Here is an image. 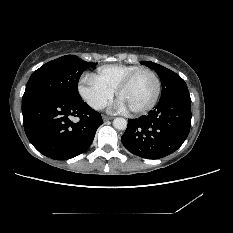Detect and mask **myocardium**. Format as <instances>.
<instances>
[{
    "instance_id": "f54148a6",
    "label": "myocardium",
    "mask_w": 233,
    "mask_h": 233,
    "mask_svg": "<svg viewBox=\"0 0 233 233\" xmlns=\"http://www.w3.org/2000/svg\"><path fill=\"white\" fill-rule=\"evenodd\" d=\"M142 73H149L154 77L155 80V94L152 98V100L150 101V103L148 105H146L143 108H139V109H129V112L132 113L133 115H141V114H145L147 112H149L150 110H152L154 108V106L156 105L159 97H160V93H161V81L160 78L158 76V74L152 70V69H148V68H142L139 69L133 73H131L116 89V96L117 98L120 97L121 93L126 90L132 83L133 81Z\"/></svg>"
}]
</instances>
